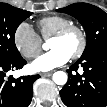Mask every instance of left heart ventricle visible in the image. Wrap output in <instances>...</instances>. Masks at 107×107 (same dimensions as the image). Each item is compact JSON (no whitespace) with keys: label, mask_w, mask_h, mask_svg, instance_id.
Returning <instances> with one entry per match:
<instances>
[{"label":"left heart ventricle","mask_w":107,"mask_h":107,"mask_svg":"<svg viewBox=\"0 0 107 107\" xmlns=\"http://www.w3.org/2000/svg\"><path fill=\"white\" fill-rule=\"evenodd\" d=\"M80 45V36L77 32L73 31L62 39H51L49 42V48L61 49L72 55Z\"/></svg>","instance_id":"1"}]
</instances>
